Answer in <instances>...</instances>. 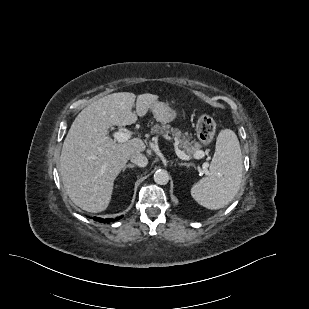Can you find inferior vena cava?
Segmentation results:
<instances>
[{
    "mask_svg": "<svg viewBox=\"0 0 309 309\" xmlns=\"http://www.w3.org/2000/svg\"><path fill=\"white\" fill-rule=\"evenodd\" d=\"M130 160L132 163L136 164L139 167H145L148 164L147 157L140 152L131 155Z\"/></svg>",
    "mask_w": 309,
    "mask_h": 309,
    "instance_id": "obj_1",
    "label": "inferior vena cava"
}]
</instances>
